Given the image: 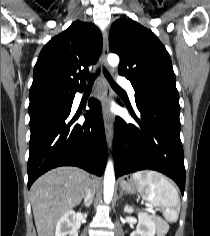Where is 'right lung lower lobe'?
I'll use <instances>...</instances> for the list:
<instances>
[{"label":"right lung lower lobe","mask_w":210,"mask_h":236,"mask_svg":"<svg viewBox=\"0 0 210 236\" xmlns=\"http://www.w3.org/2000/svg\"><path fill=\"white\" fill-rule=\"evenodd\" d=\"M77 91L67 103L49 105L29 113L28 188L40 175L58 166H78L98 176L103 174L107 145L101 104L90 99L84 124L72 126L76 117L72 118L70 111Z\"/></svg>","instance_id":"right-lung-lower-lobe-1"}]
</instances>
